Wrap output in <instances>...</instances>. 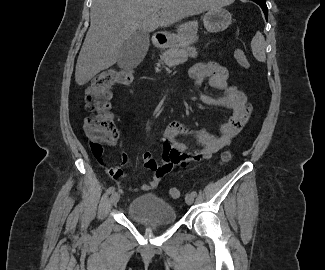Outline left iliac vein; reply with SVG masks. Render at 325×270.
<instances>
[{
  "instance_id": "1",
  "label": "left iliac vein",
  "mask_w": 325,
  "mask_h": 270,
  "mask_svg": "<svg viewBox=\"0 0 325 270\" xmlns=\"http://www.w3.org/2000/svg\"><path fill=\"white\" fill-rule=\"evenodd\" d=\"M185 201L188 205L193 204L194 202V196L192 194H187L185 197Z\"/></svg>"
}]
</instances>
